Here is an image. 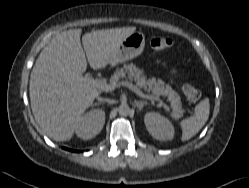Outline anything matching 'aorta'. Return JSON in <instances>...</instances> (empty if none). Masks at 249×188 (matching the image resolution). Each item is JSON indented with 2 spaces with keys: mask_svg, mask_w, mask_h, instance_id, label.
Listing matches in <instances>:
<instances>
[{
  "mask_svg": "<svg viewBox=\"0 0 249 188\" xmlns=\"http://www.w3.org/2000/svg\"><path fill=\"white\" fill-rule=\"evenodd\" d=\"M118 113L121 116H127L130 113V107L127 104H121L118 108Z\"/></svg>",
  "mask_w": 249,
  "mask_h": 188,
  "instance_id": "aorta-1",
  "label": "aorta"
}]
</instances>
